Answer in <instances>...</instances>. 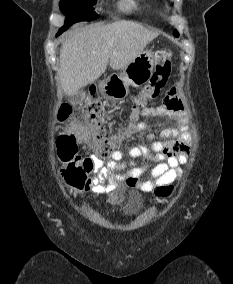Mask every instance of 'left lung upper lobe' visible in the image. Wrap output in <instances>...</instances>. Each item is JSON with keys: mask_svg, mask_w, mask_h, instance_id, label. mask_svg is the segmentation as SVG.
Returning <instances> with one entry per match:
<instances>
[{"mask_svg": "<svg viewBox=\"0 0 233 284\" xmlns=\"http://www.w3.org/2000/svg\"><path fill=\"white\" fill-rule=\"evenodd\" d=\"M173 34H174V36H176V37H178V36H179V33H178L176 30L174 31V33H173Z\"/></svg>", "mask_w": 233, "mask_h": 284, "instance_id": "5c2ea615", "label": "left lung upper lobe"}]
</instances>
